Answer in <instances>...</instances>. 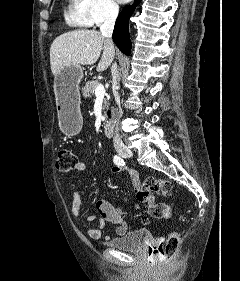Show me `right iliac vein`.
Listing matches in <instances>:
<instances>
[{"label":"right iliac vein","instance_id":"obj_1","mask_svg":"<svg viewBox=\"0 0 240 281\" xmlns=\"http://www.w3.org/2000/svg\"><path fill=\"white\" fill-rule=\"evenodd\" d=\"M117 151L121 156H123L125 158L133 156V152L128 147H125V146L118 147Z\"/></svg>","mask_w":240,"mask_h":281}]
</instances>
